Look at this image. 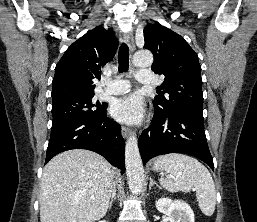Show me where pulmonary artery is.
Listing matches in <instances>:
<instances>
[{"label": "pulmonary artery", "instance_id": "e3ab8cb5", "mask_svg": "<svg viewBox=\"0 0 257 222\" xmlns=\"http://www.w3.org/2000/svg\"><path fill=\"white\" fill-rule=\"evenodd\" d=\"M136 80L145 85L153 83V74L149 71H139L136 75ZM130 90V84L127 80H115L109 83L105 89L107 94H123Z\"/></svg>", "mask_w": 257, "mask_h": 222}]
</instances>
